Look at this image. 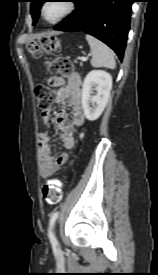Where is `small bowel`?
<instances>
[{"instance_id": "1", "label": "small bowel", "mask_w": 158, "mask_h": 275, "mask_svg": "<svg viewBox=\"0 0 158 275\" xmlns=\"http://www.w3.org/2000/svg\"><path fill=\"white\" fill-rule=\"evenodd\" d=\"M48 83L53 86L61 87L59 101L70 107L71 120H67L64 110L58 111L55 115L56 123L60 128L59 137L65 148V150L57 155H52L50 152L49 143L51 141V136L46 132L39 133V170L42 177L53 176L61 166L68 163L70 159L69 151L74 148L76 143L74 130L77 127H81L84 123L80 75L73 73L67 79L53 77L49 79ZM41 116L43 121L48 123L50 119V111L42 112Z\"/></svg>"}]
</instances>
